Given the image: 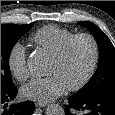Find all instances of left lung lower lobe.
<instances>
[{"instance_id":"1","label":"left lung lower lobe","mask_w":115,"mask_h":115,"mask_svg":"<svg viewBox=\"0 0 115 115\" xmlns=\"http://www.w3.org/2000/svg\"><path fill=\"white\" fill-rule=\"evenodd\" d=\"M65 106L66 115H77L75 112L83 111V115H115V94L106 93L86 99L68 98Z\"/></svg>"}]
</instances>
